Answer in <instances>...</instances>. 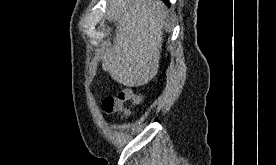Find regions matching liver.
I'll return each mask as SVG.
<instances>
[{
    "label": "liver",
    "instance_id": "6515ba94",
    "mask_svg": "<svg viewBox=\"0 0 276 165\" xmlns=\"http://www.w3.org/2000/svg\"><path fill=\"white\" fill-rule=\"evenodd\" d=\"M167 8L160 0H110L107 19L117 22L114 43L104 47L102 68L127 87L147 84L157 74Z\"/></svg>",
    "mask_w": 276,
    "mask_h": 165
}]
</instances>
